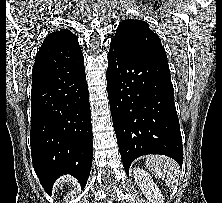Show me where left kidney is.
Masks as SVG:
<instances>
[{"mask_svg":"<svg viewBox=\"0 0 222 203\" xmlns=\"http://www.w3.org/2000/svg\"><path fill=\"white\" fill-rule=\"evenodd\" d=\"M133 174L142 193L151 203H164L161 191L148 172L141 168H134Z\"/></svg>","mask_w":222,"mask_h":203,"instance_id":"1","label":"left kidney"}]
</instances>
